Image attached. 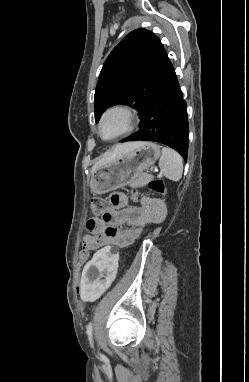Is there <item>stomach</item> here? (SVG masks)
Masks as SVG:
<instances>
[{
	"label": "stomach",
	"instance_id": "0dacf381",
	"mask_svg": "<svg viewBox=\"0 0 249 382\" xmlns=\"http://www.w3.org/2000/svg\"><path fill=\"white\" fill-rule=\"evenodd\" d=\"M159 156V145L141 142L110 164L96 169L90 180L91 192L103 194L124 187L132 178L139 177L143 171L151 167Z\"/></svg>",
	"mask_w": 249,
	"mask_h": 382
}]
</instances>
